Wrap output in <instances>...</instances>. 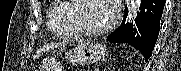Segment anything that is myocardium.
Here are the masks:
<instances>
[{
    "mask_svg": "<svg viewBox=\"0 0 181 71\" xmlns=\"http://www.w3.org/2000/svg\"><path fill=\"white\" fill-rule=\"evenodd\" d=\"M84 1H89V0H72L71 1L72 21L75 28L78 30V32L81 35H84L87 37H98L107 33L112 28V25H113L112 22L107 23L105 26L98 29L89 28L82 22L81 17H80V10H81V3Z\"/></svg>",
    "mask_w": 181,
    "mask_h": 71,
    "instance_id": "myocardium-1",
    "label": "myocardium"
}]
</instances>
